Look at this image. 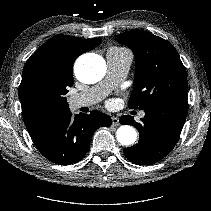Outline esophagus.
I'll use <instances>...</instances> for the list:
<instances>
[{
  "mask_svg": "<svg viewBox=\"0 0 211 211\" xmlns=\"http://www.w3.org/2000/svg\"><path fill=\"white\" fill-rule=\"evenodd\" d=\"M112 125L113 126H119L120 125L119 119L115 116L112 117Z\"/></svg>",
  "mask_w": 211,
  "mask_h": 211,
  "instance_id": "34e87169",
  "label": "esophagus"
}]
</instances>
